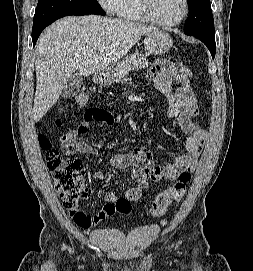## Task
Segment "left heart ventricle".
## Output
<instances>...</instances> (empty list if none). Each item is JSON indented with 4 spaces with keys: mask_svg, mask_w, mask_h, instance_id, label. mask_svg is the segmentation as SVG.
<instances>
[{
    "mask_svg": "<svg viewBox=\"0 0 253 271\" xmlns=\"http://www.w3.org/2000/svg\"><path fill=\"white\" fill-rule=\"evenodd\" d=\"M155 15L162 21L177 20L183 12V0H152Z\"/></svg>",
    "mask_w": 253,
    "mask_h": 271,
    "instance_id": "obj_1",
    "label": "left heart ventricle"
}]
</instances>
